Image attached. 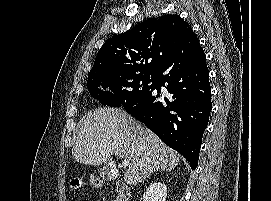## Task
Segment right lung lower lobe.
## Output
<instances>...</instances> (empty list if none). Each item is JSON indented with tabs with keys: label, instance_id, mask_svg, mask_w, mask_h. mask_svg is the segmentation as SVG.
Returning <instances> with one entry per match:
<instances>
[{
	"label": "right lung lower lobe",
	"instance_id": "obj_1",
	"mask_svg": "<svg viewBox=\"0 0 271 201\" xmlns=\"http://www.w3.org/2000/svg\"><path fill=\"white\" fill-rule=\"evenodd\" d=\"M197 40L194 35L186 36L154 74L153 87L122 105L166 145L182 154L193 170L198 165L212 109L206 55ZM161 86L166 89L164 95Z\"/></svg>",
	"mask_w": 271,
	"mask_h": 201
}]
</instances>
